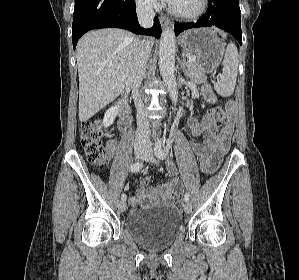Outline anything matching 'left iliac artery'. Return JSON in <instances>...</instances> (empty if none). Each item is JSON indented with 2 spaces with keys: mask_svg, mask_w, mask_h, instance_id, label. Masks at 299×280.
<instances>
[{
  "mask_svg": "<svg viewBox=\"0 0 299 280\" xmlns=\"http://www.w3.org/2000/svg\"><path fill=\"white\" fill-rule=\"evenodd\" d=\"M163 146H164V145H162L161 142H158V143L156 144L155 148H154V153H155L156 157L159 158V159H162V160L166 158V153H165V151H167V150L170 148V146L167 145V146L164 147V149H163ZM189 199H190V195H189V193H186L185 196H184V200H185L186 202H188Z\"/></svg>",
  "mask_w": 299,
  "mask_h": 280,
  "instance_id": "left-iliac-artery-1",
  "label": "left iliac artery"
}]
</instances>
